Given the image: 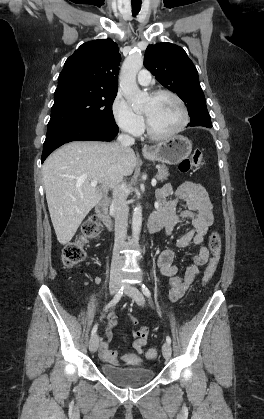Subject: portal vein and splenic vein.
Segmentation results:
<instances>
[{
    "label": "portal vein and splenic vein",
    "mask_w": 264,
    "mask_h": 419,
    "mask_svg": "<svg viewBox=\"0 0 264 419\" xmlns=\"http://www.w3.org/2000/svg\"><path fill=\"white\" fill-rule=\"evenodd\" d=\"M156 183H157L156 179H153L152 182H151L153 187L156 186ZM97 184H98V181L94 180V181L91 182V187H96Z\"/></svg>",
    "instance_id": "18ae733b"
}]
</instances>
